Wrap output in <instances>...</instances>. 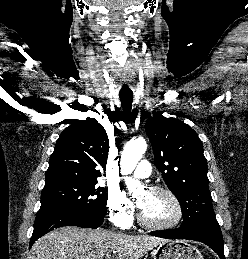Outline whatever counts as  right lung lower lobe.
<instances>
[{
  "label": "right lung lower lobe",
  "mask_w": 248,
  "mask_h": 259,
  "mask_svg": "<svg viewBox=\"0 0 248 259\" xmlns=\"http://www.w3.org/2000/svg\"><path fill=\"white\" fill-rule=\"evenodd\" d=\"M104 219L89 218L78 212L57 209V208H42L38 211L34 231L30 240V246L41 236L51 230L63 226H78L83 228H96L102 225Z\"/></svg>",
  "instance_id": "right-lung-lower-lobe-1"
}]
</instances>
